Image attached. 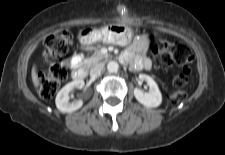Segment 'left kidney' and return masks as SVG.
Masks as SVG:
<instances>
[{
	"instance_id": "left-kidney-1",
	"label": "left kidney",
	"mask_w": 225,
	"mask_h": 155,
	"mask_svg": "<svg viewBox=\"0 0 225 155\" xmlns=\"http://www.w3.org/2000/svg\"><path fill=\"white\" fill-rule=\"evenodd\" d=\"M140 81H146L149 86V92H143L139 88L134 89V96L142 105L148 108L158 107L162 102V94L157 83L148 75L140 74Z\"/></svg>"
}]
</instances>
